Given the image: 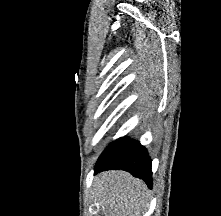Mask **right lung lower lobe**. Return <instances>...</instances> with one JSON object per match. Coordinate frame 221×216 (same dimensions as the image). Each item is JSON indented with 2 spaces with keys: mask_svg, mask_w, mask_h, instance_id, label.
<instances>
[{
  "mask_svg": "<svg viewBox=\"0 0 221 216\" xmlns=\"http://www.w3.org/2000/svg\"><path fill=\"white\" fill-rule=\"evenodd\" d=\"M110 169L128 171L133 176L143 179L149 187H152L151 160L147 150L139 142H136L108 162L96 165L94 174Z\"/></svg>",
  "mask_w": 221,
  "mask_h": 216,
  "instance_id": "1",
  "label": "right lung lower lobe"
}]
</instances>
